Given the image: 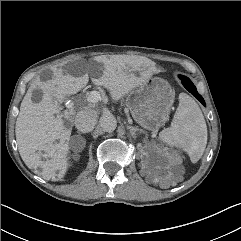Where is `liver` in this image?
Here are the masks:
<instances>
[{"label":"liver","instance_id":"liver-1","mask_svg":"<svg viewBox=\"0 0 241 241\" xmlns=\"http://www.w3.org/2000/svg\"><path fill=\"white\" fill-rule=\"evenodd\" d=\"M102 65V75L92 78L93 84L110 91L113 101H118L137 86L144 84L155 72L152 61L144 57L96 56L87 70ZM139 72V76L135 72ZM89 81L88 71L81 76H73L62 67L53 68V77L48 81L36 78L25 94L17 117L15 134L20 156L28 168L47 180H61L68 169V140L71 130L55 117L59 112L58 99L76 94ZM35 90L42 91L38 103L32 101ZM50 160L42 161L43 153ZM56 171H59L57 174Z\"/></svg>","mask_w":241,"mask_h":241}]
</instances>
